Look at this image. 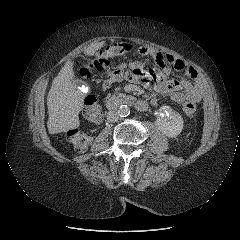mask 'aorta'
Masks as SVG:
<instances>
[{
	"mask_svg": "<svg viewBox=\"0 0 240 240\" xmlns=\"http://www.w3.org/2000/svg\"><path fill=\"white\" fill-rule=\"evenodd\" d=\"M130 114V108L127 105H121L118 108V115L120 117H127Z\"/></svg>",
	"mask_w": 240,
	"mask_h": 240,
	"instance_id": "1",
	"label": "aorta"
}]
</instances>
